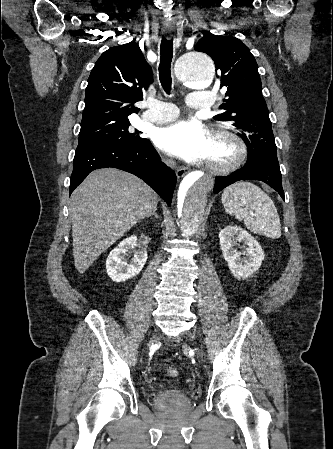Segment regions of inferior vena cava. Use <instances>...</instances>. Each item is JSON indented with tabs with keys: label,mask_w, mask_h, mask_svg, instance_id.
<instances>
[{
	"label": "inferior vena cava",
	"mask_w": 333,
	"mask_h": 449,
	"mask_svg": "<svg viewBox=\"0 0 333 449\" xmlns=\"http://www.w3.org/2000/svg\"><path fill=\"white\" fill-rule=\"evenodd\" d=\"M165 163L170 167H175V162L173 160H167Z\"/></svg>",
	"instance_id": "602c4592"
}]
</instances>
